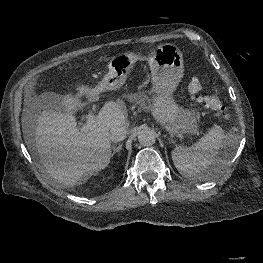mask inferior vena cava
Segmentation results:
<instances>
[{"label":"inferior vena cava","instance_id":"inferior-vena-cava-1","mask_svg":"<svg viewBox=\"0 0 263 263\" xmlns=\"http://www.w3.org/2000/svg\"><path fill=\"white\" fill-rule=\"evenodd\" d=\"M126 129L123 126H115L109 132V138L113 142H120L126 138Z\"/></svg>","mask_w":263,"mask_h":263}]
</instances>
